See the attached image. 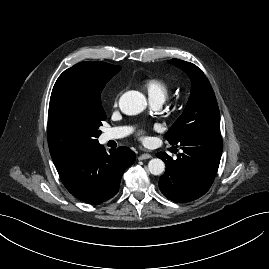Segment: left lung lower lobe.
I'll return each mask as SVG.
<instances>
[{"label":"left lung lower lobe","mask_w":269,"mask_h":269,"mask_svg":"<svg viewBox=\"0 0 269 269\" xmlns=\"http://www.w3.org/2000/svg\"><path fill=\"white\" fill-rule=\"evenodd\" d=\"M183 153L173 160L165 152L157 157L166 164L159 179V188L165 197L185 203L204 195L216 176L223 142L218 132L199 133L180 144Z\"/></svg>","instance_id":"obj_1"}]
</instances>
